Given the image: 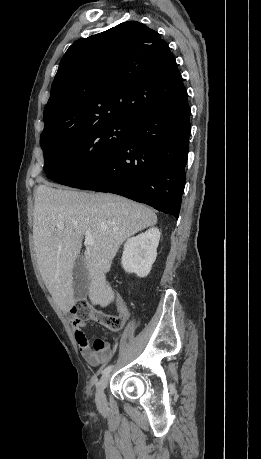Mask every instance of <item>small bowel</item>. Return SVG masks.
<instances>
[{
    "mask_svg": "<svg viewBox=\"0 0 261 459\" xmlns=\"http://www.w3.org/2000/svg\"><path fill=\"white\" fill-rule=\"evenodd\" d=\"M115 305L119 313L127 319L129 317L128 308L119 293L115 295ZM71 326L74 337L78 344L83 358L92 366H102L107 364L112 358V347L104 339L98 338L93 344L89 342L84 324L77 318H72Z\"/></svg>",
    "mask_w": 261,
    "mask_h": 459,
    "instance_id": "1",
    "label": "small bowel"
}]
</instances>
